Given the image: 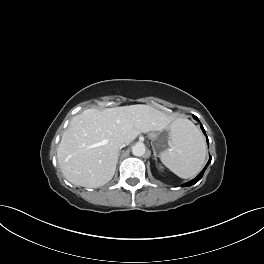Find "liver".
<instances>
[{"label": "liver", "instance_id": "obj_1", "mask_svg": "<svg viewBox=\"0 0 264 264\" xmlns=\"http://www.w3.org/2000/svg\"><path fill=\"white\" fill-rule=\"evenodd\" d=\"M172 121V117L143 104L87 109L73 117L61 138L57 159L62 173L75 185L100 187L115 173L119 142L128 145L141 133L161 131Z\"/></svg>", "mask_w": 264, "mask_h": 264}]
</instances>
